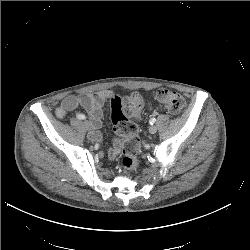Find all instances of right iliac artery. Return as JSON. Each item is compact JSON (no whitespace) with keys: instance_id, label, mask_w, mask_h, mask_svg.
<instances>
[{"instance_id":"82829eb1","label":"right iliac artery","mask_w":250,"mask_h":250,"mask_svg":"<svg viewBox=\"0 0 250 250\" xmlns=\"http://www.w3.org/2000/svg\"><path fill=\"white\" fill-rule=\"evenodd\" d=\"M76 117H77L78 119H80V120H83V119L86 118V116L83 115V114H77Z\"/></svg>"}]
</instances>
